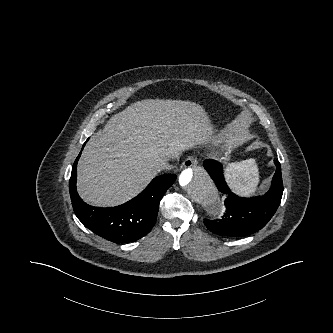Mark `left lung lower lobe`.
Masks as SVG:
<instances>
[{
	"label": "left lung lower lobe",
	"instance_id": "0a47b994",
	"mask_svg": "<svg viewBox=\"0 0 333 333\" xmlns=\"http://www.w3.org/2000/svg\"><path fill=\"white\" fill-rule=\"evenodd\" d=\"M274 174L270 190L263 196L242 198L233 194L223 177L222 166L215 160H206L204 168L222 193L228 194L224 204L226 213L219 220L205 219L206 227L219 235L246 236L262 229L276 212L283 194V182L279 161H275Z\"/></svg>",
	"mask_w": 333,
	"mask_h": 333
}]
</instances>
